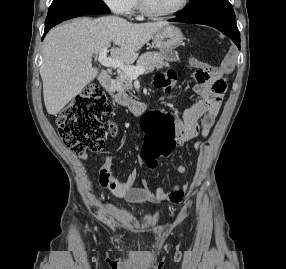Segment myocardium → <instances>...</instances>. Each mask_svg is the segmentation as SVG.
I'll return each instance as SVG.
<instances>
[{
	"label": "myocardium",
	"instance_id": "1",
	"mask_svg": "<svg viewBox=\"0 0 286 269\" xmlns=\"http://www.w3.org/2000/svg\"><path fill=\"white\" fill-rule=\"evenodd\" d=\"M189 0H181L180 4L175 7L174 9L167 11V12H162V13H156L151 11L147 5L145 0H137L138 4V9L139 11L145 16L150 19H164L171 17L179 12H181L187 5H188Z\"/></svg>",
	"mask_w": 286,
	"mask_h": 269
}]
</instances>
